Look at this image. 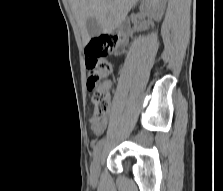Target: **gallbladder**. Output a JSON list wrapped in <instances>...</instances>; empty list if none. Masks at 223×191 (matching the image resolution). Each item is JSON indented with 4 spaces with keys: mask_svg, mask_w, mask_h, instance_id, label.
Instances as JSON below:
<instances>
[{
    "mask_svg": "<svg viewBox=\"0 0 223 191\" xmlns=\"http://www.w3.org/2000/svg\"><path fill=\"white\" fill-rule=\"evenodd\" d=\"M86 29L91 37L100 35L102 28L99 22L94 17H89L86 22Z\"/></svg>",
    "mask_w": 223,
    "mask_h": 191,
    "instance_id": "bac80fb5",
    "label": "gallbladder"
}]
</instances>
